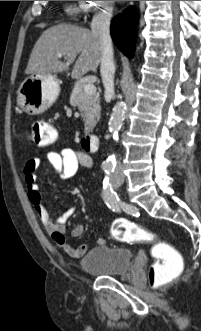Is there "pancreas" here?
<instances>
[{
	"label": "pancreas",
	"instance_id": "obj_1",
	"mask_svg": "<svg viewBox=\"0 0 201 331\" xmlns=\"http://www.w3.org/2000/svg\"><path fill=\"white\" fill-rule=\"evenodd\" d=\"M71 103L78 107L83 117L85 131H92L100 118V97L98 94H86L84 87L73 90Z\"/></svg>",
	"mask_w": 201,
	"mask_h": 331
}]
</instances>
